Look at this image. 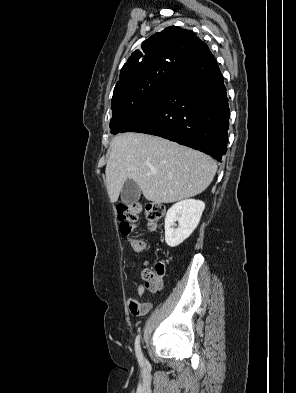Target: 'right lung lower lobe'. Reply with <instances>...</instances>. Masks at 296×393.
Segmentation results:
<instances>
[{"label":"right lung lower lobe","mask_w":296,"mask_h":393,"mask_svg":"<svg viewBox=\"0 0 296 393\" xmlns=\"http://www.w3.org/2000/svg\"><path fill=\"white\" fill-rule=\"evenodd\" d=\"M229 117L223 76L208 52L178 73L154 103L120 132L157 135L221 161L226 153Z\"/></svg>","instance_id":"98d812e1"}]
</instances>
